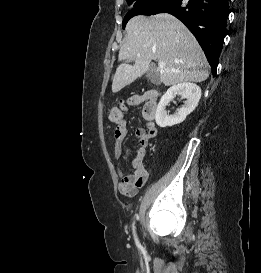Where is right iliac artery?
Masks as SVG:
<instances>
[{
    "label": "right iliac artery",
    "instance_id": "82829eb1",
    "mask_svg": "<svg viewBox=\"0 0 261 273\" xmlns=\"http://www.w3.org/2000/svg\"><path fill=\"white\" fill-rule=\"evenodd\" d=\"M138 216L136 215V218H137ZM133 234H134V238H135V243H136V245L137 246H140V243H139V241H138V239H137V236H136V234H135V226H134V224H133Z\"/></svg>",
    "mask_w": 261,
    "mask_h": 273
}]
</instances>
